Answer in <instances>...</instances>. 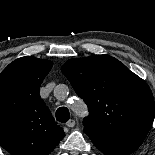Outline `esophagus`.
Masks as SVG:
<instances>
[{"instance_id": "obj_1", "label": "esophagus", "mask_w": 155, "mask_h": 155, "mask_svg": "<svg viewBox=\"0 0 155 155\" xmlns=\"http://www.w3.org/2000/svg\"><path fill=\"white\" fill-rule=\"evenodd\" d=\"M75 124H76V122H75V120H73V119H70V120L66 123V125H67L68 127H74Z\"/></svg>"}]
</instances>
